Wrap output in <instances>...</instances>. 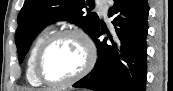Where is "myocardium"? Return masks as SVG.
I'll list each match as a JSON object with an SVG mask.
<instances>
[{
	"instance_id": "1",
	"label": "myocardium",
	"mask_w": 173,
	"mask_h": 91,
	"mask_svg": "<svg viewBox=\"0 0 173 91\" xmlns=\"http://www.w3.org/2000/svg\"><path fill=\"white\" fill-rule=\"evenodd\" d=\"M65 36H74L81 40L86 50V61L82 69L75 75L62 80V81H50L46 79L42 73V59L48 47L57 39ZM97 59V48L93 39L83 30L76 28H66L51 33L40 45L34 61V70L37 79L50 87H64L68 86L86 76L94 67Z\"/></svg>"
}]
</instances>
